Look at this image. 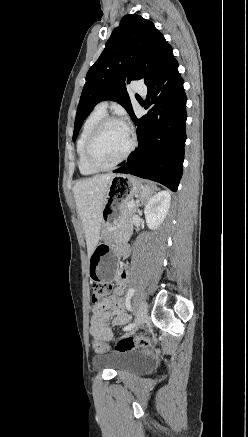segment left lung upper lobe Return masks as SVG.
Here are the masks:
<instances>
[{"instance_id": "1", "label": "left lung upper lobe", "mask_w": 248, "mask_h": 437, "mask_svg": "<svg viewBox=\"0 0 248 437\" xmlns=\"http://www.w3.org/2000/svg\"><path fill=\"white\" fill-rule=\"evenodd\" d=\"M174 59L172 47L151 21L136 14L124 16L86 75L77 108L73 140L84 119L102 100H116L132 118L134 112L126 84L138 79L149 84Z\"/></svg>"}]
</instances>
